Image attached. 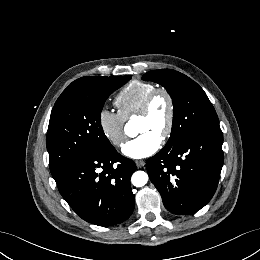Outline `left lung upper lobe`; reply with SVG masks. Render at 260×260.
<instances>
[{
    "label": "left lung upper lobe",
    "mask_w": 260,
    "mask_h": 260,
    "mask_svg": "<svg viewBox=\"0 0 260 260\" xmlns=\"http://www.w3.org/2000/svg\"><path fill=\"white\" fill-rule=\"evenodd\" d=\"M142 79L161 84L172 98L173 124L166 146L175 145L197 132L220 129L217 114L206 93L186 75L159 69L144 74Z\"/></svg>",
    "instance_id": "5c2ea615"
}]
</instances>
